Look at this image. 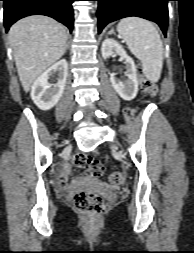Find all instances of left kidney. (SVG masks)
Here are the masks:
<instances>
[{
	"label": "left kidney",
	"instance_id": "left-kidney-1",
	"mask_svg": "<svg viewBox=\"0 0 194 253\" xmlns=\"http://www.w3.org/2000/svg\"><path fill=\"white\" fill-rule=\"evenodd\" d=\"M102 57L109 58L114 54L120 55L125 60L127 79L120 80L115 77V73L110 74V81L117 94L124 100H132L138 92L137 69L133 59L127 55L123 47L114 39H105L101 47Z\"/></svg>",
	"mask_w": 194,
	"mask_h": 253
}]
</instances>
